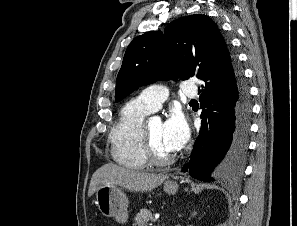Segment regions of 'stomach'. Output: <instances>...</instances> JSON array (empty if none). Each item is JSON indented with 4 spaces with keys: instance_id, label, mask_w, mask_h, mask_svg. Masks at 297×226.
Returning <instances> with one entry per match:
<instances>
[{
    "instance_id": "obj_1",
    "label": "stomach",
    "mask_w": 297,
    "mask_h": 226,
    "mask_svg": "<svg viewBox=\"0 0 297 226\" xmlns=\"http://www.w3.org/2000/svg\"><path fill=\"white\" fill-rule=\"evenodd\" d=\"M178 188L179 185L175 181L167 180L164 183V191L169 195H174ZM96 204L106 217H114L119 223L128 220V198L117 185L101 186L96 191Z\"/></svg>"
}]
</instances>
